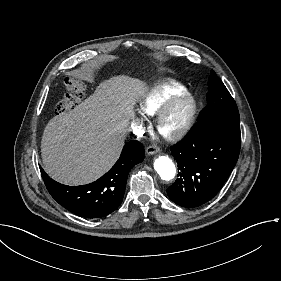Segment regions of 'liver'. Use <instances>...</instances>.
I'll use <instances>...</instances> for the list:
<instances>
[{"mask_svg": "<svg viewBox=\"0 0 281 281\" xmlns=\"http://www.w3.org/2000/svg\"><path fill=\"white\" fill-rule=\"evenodd\" d=\"M147 95L145 82L117 76L72 111L53 117L41 141L45 171L65 183L96 180L119 158L134 105Z\"/></svg>", "mask_w": 281, "mask_h": 281, "instance_id": "1", "label": "liver"}]
</instances>
